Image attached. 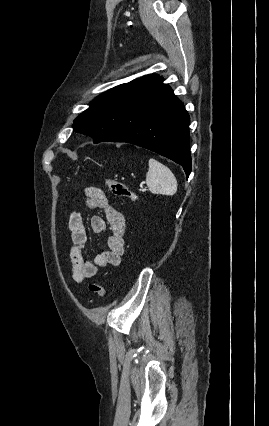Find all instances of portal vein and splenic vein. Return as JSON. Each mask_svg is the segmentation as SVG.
<instances>
[{
    "instance_id": "1",
    "label": "portal vein and splenic vein",
    "mask_w": 269,
    "mask_h": 426,
    "mask_svg": "<svg viewBox=\"0 0 269 426\" xmlns=\"http://www.w3.org/2000/svg\"><path fill=\"white\" fill-rule=\"evenodd\" d=\"M141 191H143V192H144V191H146V189H145V188H142V189H141Z\"/></svg>"
}]
</instances>
